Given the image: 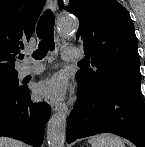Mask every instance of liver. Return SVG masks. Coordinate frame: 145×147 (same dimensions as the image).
<instances>
[{
    "instance_id": "6515ba94",
    "label": "liver",
    "mask_w": 145,
    "mask_h": 147,
    "mask_svg": "<svg viewBox=\"0 0 145 147\" xmlns=\"http://www.w3.org/2000/svg\"><path fill=\"white\" fill-rule=\"evenodd\" d=\"M0 147H25V145L11 138L0 137Z\"/></svg>"
}]
</instances>
